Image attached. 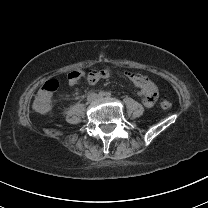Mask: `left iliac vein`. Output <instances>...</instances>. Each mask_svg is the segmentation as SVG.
Masks as SVG:
<instances>
[{
  "label": "left iliac vein",
  "instance_id": "1",
  "mask_svg": "<svg viewBox=\"0 0 208 208\" xmlns=\"http://www.w3.org/2000/svg\"><path fill=\"white\" fill-rule=\"evenodd\" d=\"M98 98H99V99H102L103 97H100V96H99Z\"/></svg>",
  "mask_w": 208,
  "mask_h": 208
}]
</instances>
